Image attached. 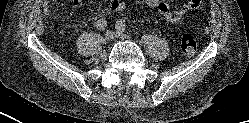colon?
I'll list each match as a JSON object with an SVG mask.
<instances>
[{
    "mask_svg": "<svg viewBox=\"0 0 249 123\" xmlns=\"http://www.w3.org/2000/svg\"><path fill=\"white\" fill-rule=\"evenodd\" d=\"M197 50V43L195 38L190 34H185L181 39V51L187 56L191 57Z\"/></svg>",
    "mask_w": 249,
    "mask_h": 123,
    "instance_id": "colon-1",
    "label": "colon"
}]
</instances>
